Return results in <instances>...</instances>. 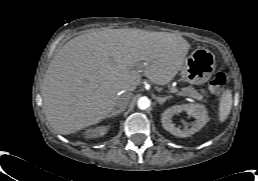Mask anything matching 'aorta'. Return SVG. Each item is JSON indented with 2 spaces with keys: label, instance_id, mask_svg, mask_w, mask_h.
<instances>
[{
  "label": "aorta",
  "instance_id": "1",
  "mask_svg": "<svg viewBox=\"0 0 258 181\" xmlns=\"http://www.w3.org/2000/svg\"><path fill=\"white\" fill-rule=\"evenodd\" d=\"M138 108L145 110L150 106V100L147 97H140L137 102Z\"/></svg>",
  "mask_w": 258,
  "mask_h": 181
}]
</instances>
